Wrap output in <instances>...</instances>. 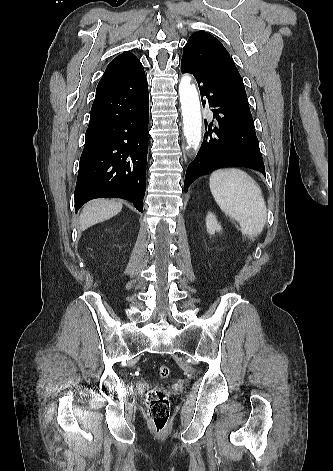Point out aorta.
<instances>
[{
	"label": "aorta",
	"instance_id": "762f6f07",
	"mask_svg": "<svg viewBox=\"0 0 333 471\" xmlns=\"http://www.w3.org/2000/svg\"><path fill=\"white\" fill-rule=\"evenodd\" d=\"M179 96L183 117V133L189 147L197 149L201 141L202 117L200 102L191 77L184 75L179 84Z\"/></svg>",
	"mask_w": 333,
	"mask_h": 471
}]
</instances>
